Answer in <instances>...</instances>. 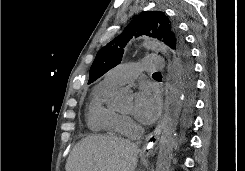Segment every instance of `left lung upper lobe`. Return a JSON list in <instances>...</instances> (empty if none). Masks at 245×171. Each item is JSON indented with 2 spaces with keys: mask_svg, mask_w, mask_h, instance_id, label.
Returning <instances> with one entry per match:
<instances>
[{
  "mask_svg": "<svg viewBox=\"0 0 245 171\" xmlns=\"http://www.w3.org/2000/svg\"><path fill=\"white\" fill-rule=\"evenodd\" d=\"M147 35L163 41L173 50L176 61H192L185 41L176 24L164 12L146 11L135 17L114 40L102 47L90 68L88 84L120 64L123 48L133 37Z\"/></svg>",
  "mask_w": 245,
  "mask_h": 171,
  "instance_id": "5c2ea615",
  "label": "left lung upper lobe"
}]
</instances>
